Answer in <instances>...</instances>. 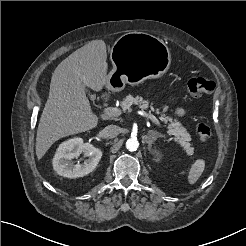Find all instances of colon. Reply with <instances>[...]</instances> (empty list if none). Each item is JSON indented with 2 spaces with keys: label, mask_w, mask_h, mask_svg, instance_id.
I'll use <instances>...</instances> for the list:
<instances>
[{
  "label": "colon",
  "mask_w": 246,
  "mask_h": 246,
  "mask_svg": "<svg viewBox=\"0 0 246 246\" xmlns=\"http://www.w3.org/2000/svg\"><path fill=\"white\" fill-rule=\"evenodd\" d=\"M187 93L193 97H199L211 93L215 89V83L204 77H194L185 84ZM199 138L208 141L212 136L211 127L204 122H199L196 126Z\"/></svg>",
  "instance_id": "colon-1"
}]
</instances>
